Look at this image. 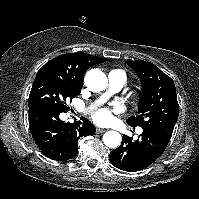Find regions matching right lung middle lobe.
<instances>
[{
	"label": "right lung middle lobe",
	"instance_id": "1",
	"mask_svg": "<svg viewBox=\"0 0 199 199\" xmlns=\"http://www.w3.org/2000/svg\"><path fill=\"white\" fill-rule=\"evenodd\" d=\"M81 85L53 75H36L29 95V106L37 103H48L61 112H67L69 108L66 101L80 94Z\"/></svg>",
	"mask_w": 199,
	"mask_h": 199
}]
</instances>
